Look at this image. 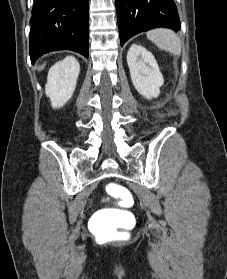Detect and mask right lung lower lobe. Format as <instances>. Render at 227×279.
Segmentation results:
<instances>
[{
	"instance_id": "obj_1",
	"label": "right lung lower lobe",
	"mask_w": 227,
	"mask_h": 279,
	"mask_svg": "<svg viewBox=\"0 0 227 279\" xmlns=\"http://www.w3.org/2000/svg\"><path fill=\"white\" fill-rule=\"evenodd\" d=\"M89 0H34L29 51L34 63L43 54L73 50L89 54Z\"/></svg>"
}]
</instances>
